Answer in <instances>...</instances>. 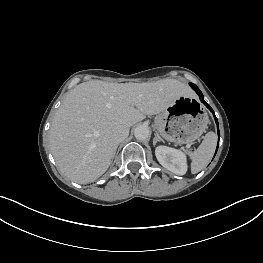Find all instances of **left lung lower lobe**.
Returning a JSON list of instances; mask_svg holds the SVG:
<instances>
[{
	"label": "left lung lower lobe",
	"mask_w": 263,
	"mask_h": 263,
	"mask_svg": "<svg viewBox=\"0 0 263 263\" xmlns=\"http://www.w3.org/2000/svg\"><path fill=\"white\" fill-rule=\"evenodd\" d=\"M190 86H191V87L196 91V93L199 95V98H200L201 102L213 113L214 118H215V121H216V124H217V127H218V121H217V118H216V116H215V114H214V111H213V109L204 101V97H203L202 92L199 90V88H198L196 85L190 83ZM218 135L220 136L219 129H218ZM217 147H218V146H217Z\"/></svg>",
	"instance_id": "left-lung-lower-lobe-1"
}]
</instances>
